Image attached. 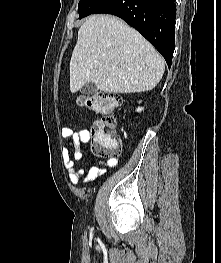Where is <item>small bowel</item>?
I'll return each mask as SVG.
<instances>
[{
	"label": "small bowel",
	"instance_id": "1",
	"mask_svg": "<svg viewBox=\"0 0 221 263\" xmlns=\"http://www.w3.org/2000/svg\"><path fill=\"white\" fill-rule=\"evenodd\" d=\"M61 136L66 139V147L63 149V156L67 165L69 180L73 184H78L82 178L84 184L91 183L97 177L104 175L107 167H115L118 163L117 160L110 159L101 162L99 166H92L88 169L76 168L75 162L81 161L84 157L80 145L89 142V131L86 129L73 130L70 128H63L61 129ZM70 150L73 151V159L69 157Z\"/></svg>",
	"mask_w": 221,
	"mask_h": 263
}]
</instances>
